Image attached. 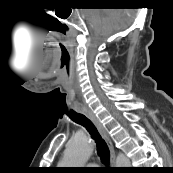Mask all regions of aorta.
<instances>
[{"label": "aorta", "instance_id": "1", "mask_svg": "<svg viewBox=\"0 0 173 173\" xmlns=\"http://www.w3.org/2000/svg\"><path fill=\"white\" fill-rule=\"evenodd\" d=\"M93 152V144L87 137L74 138L68 144L61 165L63 167H82ZM130 160L124 154L119 153L116 158L117 167H129Z\"/></svg>", "mask_w": 173, "mask_h": 173}]
</instances>
